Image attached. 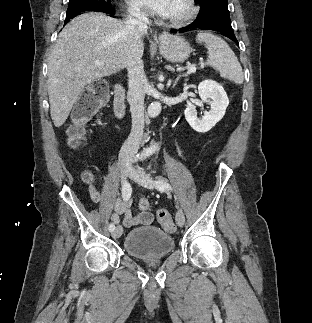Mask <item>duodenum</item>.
Returning a JSON list of instances; mask_svg holds the SVG:
<instances>
[{
    "instance_id": "duodenum-1",
    "label": "duodenum",
    "mask_w": 312,
    "mask_h": 323,
    "mask_svg": "<svg viewBox=\"0 0 312 323\" xmlns=\"http://www.w3.org/2000/svg\"><path fill=\"white\" fill-rule=\"evenodd\" d=\"M126 91L122 84H116L114 86V112L116 116L120 119L124 118L126 114Z\"/></svg>"
}]
</instances>
